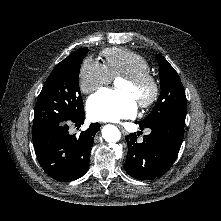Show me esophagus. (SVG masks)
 Segmentation results:
<instances>
[{
    "label": "esophagus",
    "mask_w": 221,
    "mask_h": 221,
    "mask_svg": "<svg viewBox=\"0 0 221 221\" xmlns=\"http://www.w3.org/2000/svg\"><path fill=\"white\" fill-rule=\"evenodd\" d=\"M118 128L121 130V132H122L123 135H126V134H127V132H126V130L123 128V126L118 125Z\"/></svg>",
    "instance_id": "1"
}]
</instances>
